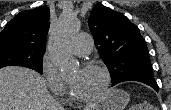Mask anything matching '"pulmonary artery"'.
I'll return each mask as SVG.
<instances>
[{"instance_id": "obj_1", "label": "pulmonary artery", "mask_w": 171, "mask_h": 110, "mask_svg": "<svg viewBox=\"0 0 171 110\" xmlns=\"http://www.w3.org/2000/svg\"><path fill=\"white\" fill-rule=\"evenodd\" d=\"M74 53L78 55H86L90 53L93 42L90 36L84 33H80L75 36L72 43Z\"/></svg>"}]
</instances>
